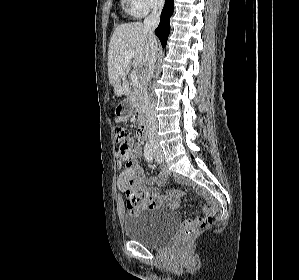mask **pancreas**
<instances>
[{
	"instance_id": "cf45deb5",
	"label": "pancreas",
	"mask_w": 299,
	"mask_h": 280,
	"mask_svg": "<svg viewBox=\"0 0 299 280\" xmlns=\"http://www.w3.org/2000/svg\"><path fill=\"white\" fill-rule=\"evenodd\" d=\"M129 101L132 108L138 113V121L142 122V115L144 112V97L142 87H134L130 91Z\"/></svg>"
}]
</instances>
